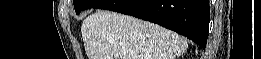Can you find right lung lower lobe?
I'll list each match as a JSON object with an SVG mask.
<instances>
[{
	"label": "right lung lower lobe",
	"mask_w": 261,
	"mask_h": 59,
	"mask_svg": "<svg viewBox=\"0 0 261 59\" xmlns=\"http://www.w3.org/2000/svg\"><path fill=\"white\" fill-rule=\"evenodd\" d=\"M94 8L116 11L159 24L206 47L209 0H104Z\"/></svg>",
	"instance_id": "98d812e1"
}]
</instances>
